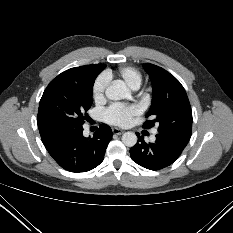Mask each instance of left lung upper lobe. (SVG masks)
I'll return each mask as SVG.
<instances>
[{"mask_svg":"<svg viewBox=\"0 0 233 233\" xmlns=\"http://www.w3.org/2000/svg\"><path fill=\"white\" fill-rule=\"evenodd\" d=\"M145 70L153 85V99L146 117L153 120L144 123V128L159 123L158 132L191 137L192 111L181 83L169 72L156 65L146 63Z\"/></svg>","mask_w":233,"mask_h":233,"instance_id":"left-lung-upper-lobe-1","label":"left lung upper lobe"}]
</instances>
